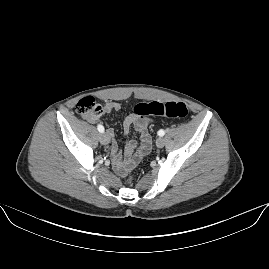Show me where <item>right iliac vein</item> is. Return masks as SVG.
<instances>
[{"instance_id":"right-iliac-vein-1","label":"right iliac vein","mask_w":269,"mask_h":269,"mask_svg":"<svg viewBox=\"0 0 269 269\" xmlns=\"http://www.w3.org/2000/svg\"><path fill=\"white\" fill-rule=\"evenodd\" d=\"M99 140L103 145H107L110 142V136L107 132H102L99 136Z\"/></svg>"}]
</instances>
